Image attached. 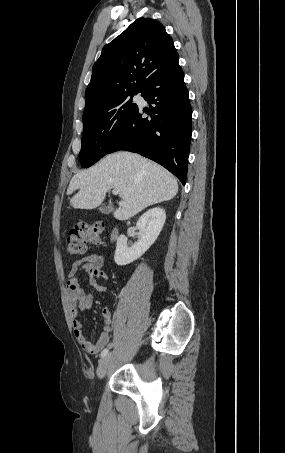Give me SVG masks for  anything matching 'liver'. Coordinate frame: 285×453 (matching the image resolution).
<instances>
[{"instance_id":"6515ba94","label":"liver","mask_w":285,"mask_h":453,"mask_svg":"<svg viewBox=\"0 0 285 453\" xmlns=\"http://www.w3.org/2000/svg\"><path fill=\"white\" fill-rule=\"evenodd\" d=\"M117 189L121 197L113 212L117 220H127L153 204L168 201L178 192L176 178L165 168L138 154L122 151L105 156L88 170L75 174L67 194L76 209H94L107 191Z\"/></svg>"}]
</instances>
